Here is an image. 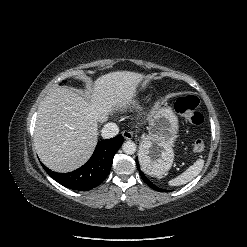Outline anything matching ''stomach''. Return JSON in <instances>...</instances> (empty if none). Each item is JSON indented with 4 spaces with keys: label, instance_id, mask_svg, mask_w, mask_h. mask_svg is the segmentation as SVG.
Here are the masks:
<instances>
[{
    "label": "stomach",
    "instance_id": "stomach-1",
    "mask_svg": "<svg viewBox=\"0 0 247 247\" xmlns=\"http://www.w3.org/2000/svg\"><path fill=\"white\" fill-rule=\"evenodd\" d=\"M178 118L171 108H156L150 117L148 135L140 142L138 159L143 171L154 177L166 174L174 161Z\"/></svg>",
    "mask_w": 247,
    "mask_h": 247
}]
</instances>
